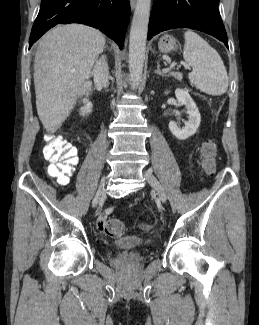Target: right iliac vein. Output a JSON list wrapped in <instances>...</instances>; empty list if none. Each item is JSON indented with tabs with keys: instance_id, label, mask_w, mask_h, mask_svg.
Segmentation results:
<instances>
[{
	"instance_id": "obj_1",
	"label": "right iliac vein",
	"mask_w": 259,
	"mask_h": 325,
	"mask_svg": "<svg viewBox=\"0 0 259 325\" xmlns=\"http://www.w3.org/2000/svg\"><path fill=\"white\" fill-rule=\"evenodd\" d=\"M104 182H105V179L103 178L98 186V190L94 196V199L92 201V205L93 207H96L100 198L103 196L104 194Z\"/></svg>"
}]
</instances>
